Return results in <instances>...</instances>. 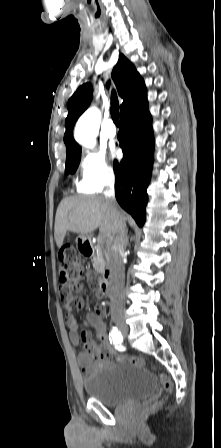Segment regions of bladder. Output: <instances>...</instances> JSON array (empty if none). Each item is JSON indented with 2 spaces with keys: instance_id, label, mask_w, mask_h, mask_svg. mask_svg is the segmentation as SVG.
<instances>
[{
  "instance_id": "31cf9c89",
  "label": "bladder",
  "mask_w": 221,
  "mask_h": 448,
  "mask_svg": "<svg viewBox=\"0 0 221 448\" xmlns=\"http://www.w3.org/2000/svg\"><path fill=\"white\" fill-rule=\"evenodd\" d=\"M88 398L105 406H119L125 403L151 397L155 390L151 373L128 362L108 364L82 380Z\"/></svg>"
}]
</instances>
